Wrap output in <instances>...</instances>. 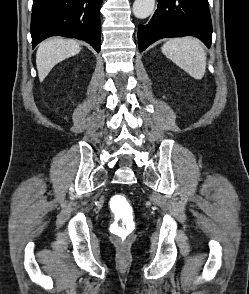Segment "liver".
<instances>
[{
    "mask_svg": "<svg viewBox=\"0 0 249 294\" xmlns=\"http://www.w3.org/2000/svg\"><path fill=\"white\" fill-rule=\"evenodd\" d=\"M79 43L70 39L52 38L40 43L36 53L38 77L42 82L59 62L78 54Z\"/></svg>",
    "mask_w": 249,
    "mask_h": 294,
    "instance_id": "obj_1",
    "label": "liver"
}]
</instances>
